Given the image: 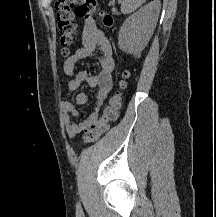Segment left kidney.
<instances>
[{
	"label": "left kidney",
	"mask_w": 216,
	"mask_h": 217,
	"mask_svg": "<svg viewBox=\"0 0 216 217\" xmlns=\"http://www.w3.org/2000/svg\"><path fill=\"white\" fill-rule=\"evenodd\" d=\"M160 6L159 1L154 0L124 21L118 35L120 50L137 55L147 46L157 24Z\"/></svg>",
	"instance_id": "left-kidney-1"
}]
</instances>
